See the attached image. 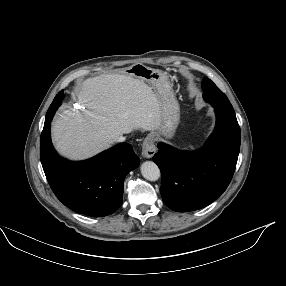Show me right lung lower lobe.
<instances>
[{"label":"right lung lower lobe","mask_w":286,"mask_h":286,"mask_svg":"<svg viewBox=\"0 0 286 286\" xmlns=\"http://www.w3.org/2000/svg\"><path fill=\"white\" fill-rule=\"evenodd\" d=\"M52 114L50 118H45L40 139V158L54 194L77 213L92 217L112 214L123 202L126 175L140 163L132 146L121 143L91 159L70 162L60 157L52 146Z\"/></svg>","instance_id":"right-lung-lower-lobe-1"}]
</instances>
